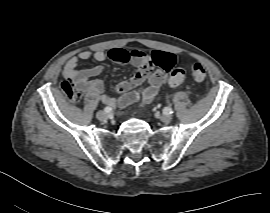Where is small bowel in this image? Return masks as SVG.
<instances>
[{"mask_svg": "<svg viewBox=\"0 0 270 213\" xmlns=\"http://www.w3.org/2000/svg\"><path fill=\"white\" fill-rule=\"evenodd\" d=\"M117 49V48H115ZM111 49L108 52L103 50H97L93 55L89 51H82L78 56L71 57L65 64L64 74L69 80L67 85L74 91V93L82 98L86 95L92 93H100L103 90V83L101 80L93 79L94 76L98 75L102 68L96 66L90 69L79 70L78 65L80 61H87L93 56V58L98 62H103L106 59H111L110 53L115 50ZM167 53V52H163ZM173 58V64L176 63V57L168 53ZM129 64L136 68H142L144 66H150V62L146 54L140 53L137 56H131L129 59ZM148 79V84L141 90V92H134L131 96L123 98L120 103L125 106L131 102L142 98L143 103H149L159 91L161 85L165 80V75L160 71H154L149 76L143 78L139 75V72L133 77L123 81L117 86V90L121 93H126L130 90L138 87L145 79ZM102 102L109 106H117L118 101L109 95H103L101 97Z\"/></svg>", "mask_w": 270, "mask_h": 213, "instance_id": "c3829d8e", "label": "small bowel"}]
</instances>
